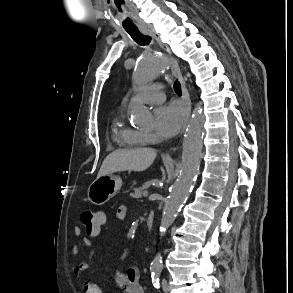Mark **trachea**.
<instances>
[{"label":"trachea","mask_w":293,"mask_h":293,"mask_svg":"<svg viewBox=\"0 0 293 293\" xmlns=\"http://www.w3.org/2000/svg\"><path fill=\"white\" fill-rule=\"evenodd\" d=\"M126 32L131 36V38L136 41L139 45H148L151 41V37L142 34L137 28L136 29H125ZM174 90L176 93H180V83L177 82L174 85Z\"/></svg>","instance_id":"obj_1"}]
</instances>
